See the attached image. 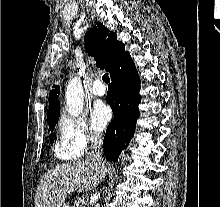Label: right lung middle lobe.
Instances as JSON below:
<instances>
[{
  "label": "right lung middle lobe",
  "mask_w": 220,
  "mask_h": 207,
  "mask_svg": "<svg viewBox=\"0 0 220 207\" xmlns=\"http://www.w3.org/2000/svg\"><path fill=\"white\" fill-rule=\"evenodd\" d=\"M59 115H60V113H58L53 119L47 120L48 124H49V131H50V129L51 130L54 129V126L57 124V122L59 120Z\"/></svg>",
  "instance_id": "dd1d6c3e"
}]
</instances>
